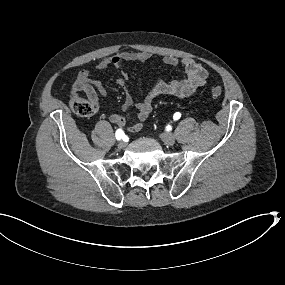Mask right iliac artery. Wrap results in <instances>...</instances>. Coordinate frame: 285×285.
<instances>
[{
  "instance_id": "82829eb1",
  "label": "right iliac artery",
  "mask_w": 285,
  "mask_h": 285,
  "mask_svg": "<svg viewBox=\"0 0 285 285\" xmlns=\"http://www.w3.org/2000/svg\"><path fill=\"white\" fill-rule=\"evenodd\" d=\"M124 131L122 129H118L115 133L116 139L120 140L124 137Z\"/></svg>"
}]
</instances>
